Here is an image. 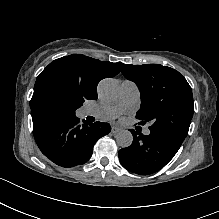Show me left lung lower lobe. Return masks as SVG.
<instances>
[{
    "instance_id": "0a47b994",
    "label": "left lung lower lobe",
    "mask_w": 219,
    "mask_h": 219,
    "mask_svg": "<svg viewBox=\"0 0 219 219\" xmlns=\"http://www.w3.org/2000/svg\"><path fill=\"white\" fill-rule=\"evenodd\" d=\"M133 142L119 150V160L127 170L149 175L163 168L175 156L182 143L161 133L142 135L134 129Z\"/></svg>"
}]
</instances>
